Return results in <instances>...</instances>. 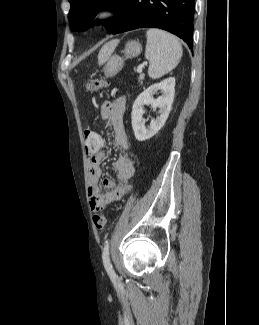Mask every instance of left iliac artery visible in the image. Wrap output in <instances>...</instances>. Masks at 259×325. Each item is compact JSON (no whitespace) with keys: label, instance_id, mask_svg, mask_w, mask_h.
<instances>
[{"label":"left iliac artery","instance_id":"1","mask_svg":"<svg viewBox=\"0 0 259 325\" xmlns=\"http://www.w3.org/2000/svg\"><path fill=\"white\" fill-rule=\"evenodd\" d=\"M102 260H103L104 267H105L108 275L110 276V278L115 279L116 273L113 270L112 264L110 262V257H109V241L105 242L103 252H102Z\"/></svg>","mask_w":259,"mask_h":325}]
</instances>
